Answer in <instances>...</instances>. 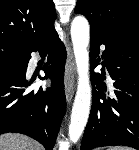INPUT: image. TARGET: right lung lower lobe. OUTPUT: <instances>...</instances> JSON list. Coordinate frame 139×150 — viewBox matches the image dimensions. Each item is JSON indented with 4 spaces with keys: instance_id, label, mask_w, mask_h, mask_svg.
<instances>
[{
    "instance_id": "right-lung-lower-lobe-1",
    "label": "right lung lower lobe",
    "mask_w": 139,
    "mask_h": 150,
    "mask_svg": "<svg viewBox=\"0 0 139 150\" xmlns=\"http://www.w3.org/2000/svg\"><path fill=\"white\" fill-rule=\"evenodd\" d=\"M47 54L43 71L50 88L28 90L34 81L26 78L31 53ZM66 49L55 28L37 45L19 57L0 59V134L22 133L52 150L66 111L64 65ZM39 78L44 79L39 76Z\"/></svg>"
}]
</instances>
